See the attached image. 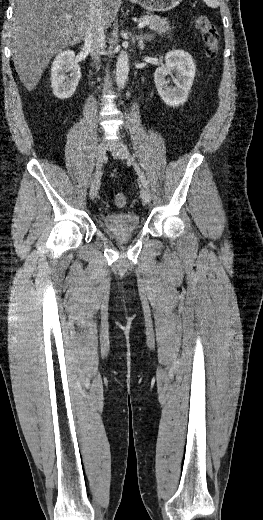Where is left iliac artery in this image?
I'll list each match as a JSON object with an SVG mask.
<instances>
[{"mask_svg": "<svg viewBox=\"0 0 263 520\" xmlns=\"http://www.w3.org/2000/svg\"><path fill=\"white\" fill-rule=\"evenodd\" d=\"M130 160L133 163L134 169L137 172L142 185L147 188L148 187V180L146 179V177L144 176L143 172L141 171L139 165L135 161L134 155H130Z\"/></svg>", "mask_w": 263, "mask_h": 520, "instance_id": "obj_1", "label": "left iliac artery"}]
</instances>
